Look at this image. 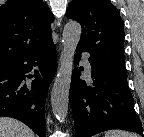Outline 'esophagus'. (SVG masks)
Instances as JSON below:
<instances>
[{"instance_id": "34e87169", "label": "esophagus", "mask_w": 144, "mask_h": 137, "mask_svg": "<svg viewBox=\"0 0 144 137\" xmlns=\"http://www.w3.org/2000/svg\"><path fill=\"white\" fill-rule=\"evenodd\" d=\"M64 53L63 52H61V54H60V62H62L63 61V59H64Z\"/></svg>"}]
</instances>
